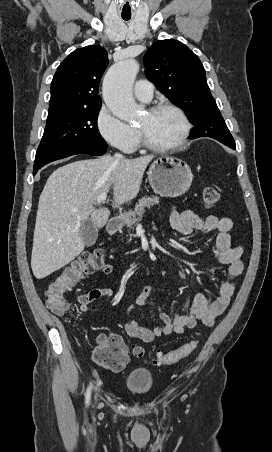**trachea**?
<instances>
[{"instance_id":"1","label":"trachea","mask_w":272,"mask_h":452,"mask_svg":"<svg viewBox=\"0 0 272 452\" xmlns=\"http://www.w3.org/2000/svg\"><path fill=\"white\" fill-rule=\"evenodd\" d=\"M122 18H123V20H125V21L130 20V17H122Z\"/></svg>"}]
</instances>
